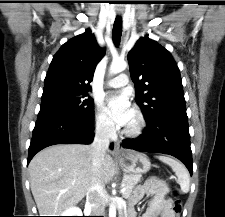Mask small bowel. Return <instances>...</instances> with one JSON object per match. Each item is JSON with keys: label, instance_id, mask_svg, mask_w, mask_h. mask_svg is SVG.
<instances>
[{"label": "small bowel", "instance_id": "small-bowel-1", "mask_svg": "<svg viewBox=\"0 0 225 217\" xmlns=\"http://www.w3.org/2000/svg\"><path fill=\"white\" fill-rule=\"evenodd\" d=\"M167 187L164 181L156 178H148L144 184L138 186L129 200L130 212L128 217H135L132 209L144 196H152V201L148 207L147 217H153L155 213L160 212L161 217H175L171 203L165 199Z\"/></svg>", "mask_w": 225, "mask_h": 217}]
</instances>
